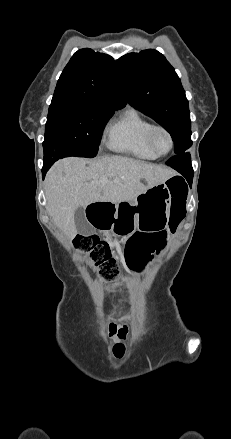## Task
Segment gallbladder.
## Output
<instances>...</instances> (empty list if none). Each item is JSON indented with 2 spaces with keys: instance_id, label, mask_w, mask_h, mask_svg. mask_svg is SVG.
Here are the masks:
<instances>
[{
  "instance_id": "bac80fb5",
  "label": "gallbladder",
  "mask_w": 231,
  "mask_h": 439,
  "mask_svg": "<svg viewBox=\"0 0 231 439\" xmlns=\"http://www.w3.org/2000/svg\"><path fill=\"white\" fill-rule=\"evenodd\" d=\"M74 219L76 229L79 234L90 235L94 232L93 227L86 221L83 209L81 207L76 210Z\"/></svg>"
}]
</instances>
